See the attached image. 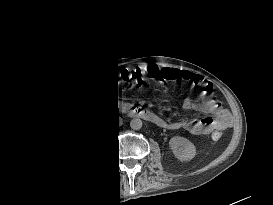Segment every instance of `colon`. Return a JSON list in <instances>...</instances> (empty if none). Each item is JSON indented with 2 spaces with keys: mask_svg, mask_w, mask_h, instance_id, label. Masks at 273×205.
<instances>
[{
  "mask_svg": "<svg viewBox=\"0 0 273 205\" xmlns=\"http://www.w3.org/2000/svg\"><path fill=\"white\" fill-rule=\"evenodd\" d=\"M164 80H169V77L167 76H161ZM122 80L123 82H125L126 84L128 85H133L134 84V76L131 74H127L125 76L122 77ZM214 137L218 138L219 137V134L218 133H215L214 134Z\"/></svg>",
  "mask_w": 273,
  "mask_h": 205,
  "instance_id": "1",
  "label": "colon"
}]
</instances>
